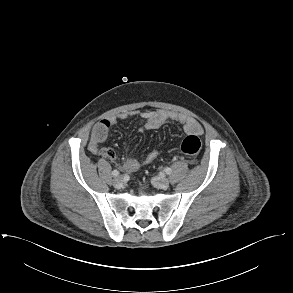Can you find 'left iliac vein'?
Instances as JSON below:
<instances>
[{
  "label": "left iliac vein",
  "mask_w": 293,
  "mask_h": 293,
  "mask_svg": "<svg viewBox=\"0 0 293 293\" xmlns=\"http://www.w3.org/2000/svg\"><path fill=\"white\" fill-rule=\"evenodd\" d=\"M151 182L155 187L160 189H167L169 187V181L164 177H154Z\"/></svg>",
  "instance_id": "obj_1"
}]
</instances>
